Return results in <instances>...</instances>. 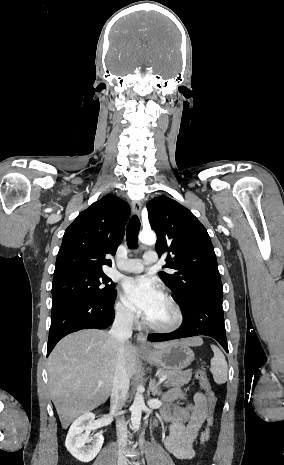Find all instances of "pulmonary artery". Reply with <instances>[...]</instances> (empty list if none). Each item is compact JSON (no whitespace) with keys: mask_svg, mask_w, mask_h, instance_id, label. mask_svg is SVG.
Listing matches in <instances>:
<instances>
[{"mask_svg":"<svg viewBox=\"0 0 284 465\" xmlns=\"http://www.w3.org/2000/svg\"><path fill=\"white\" fill-rule=\"evenodd\" d=\"M158 261V252L156 250H149L147 254L143 255L142 259H130L125 262H118L116 267L122 271L140 273L145 269L146 265L156 263Z\"/></svg>","mask_w":284,"mask_h":465,"instance_id":"obj_1","label":"pulmonary artery"}]
</instances>
